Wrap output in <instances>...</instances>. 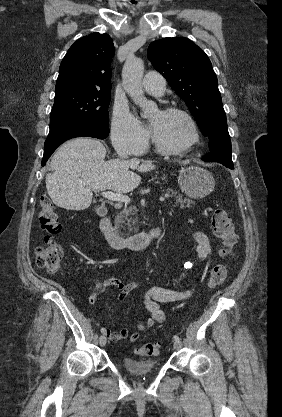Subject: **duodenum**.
Wrapping results in <instances>:
<instances>
[{
	"mask_svg": "<svg viewBox=\"0 0 282 417\" xmlns=\"http://www.w3.org/2000/svg\"><path fill=\"white\" fill-rule=\"evenodd\" d=\"M99 228L110 247L114 250L145 249L160 235L159 228H155L148 233L133 234L128 236L121 235L112 227L111 217L109 215L102 216Z\"/></svg>",
	"mask_w": 282,
	"mask_h": 417,
	"instance_id": "obj_1",
	"label": "duodenum"
}]
</instances>
